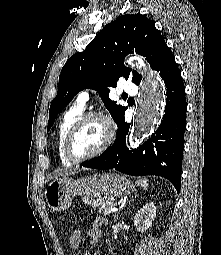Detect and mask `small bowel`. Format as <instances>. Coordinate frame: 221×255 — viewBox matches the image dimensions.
<instances>
[{"mask_svg":"<svg viewBox=\"0 0 221 255\" xmlns=\"http://www.w3.org/2000/svg\"><path fill=\"white\" fill-rule=\"evenodd\" d=\"M106 225V220L103 218H96L92 223L90 233L91 244H96L102 236V228ZM81 244V234L78 231L73 232L69 237V245L71 248L76 249ZM78 255V254H74Z\"/></svg>","mask_w":221,"mask_h":255,"instance_id":"c3829d8e","label":"small bowel"}]
</instances>
